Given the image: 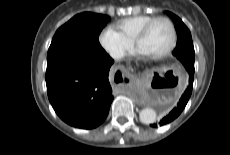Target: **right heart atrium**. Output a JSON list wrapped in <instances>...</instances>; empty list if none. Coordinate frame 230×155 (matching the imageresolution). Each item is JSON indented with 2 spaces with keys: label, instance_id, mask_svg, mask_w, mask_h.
Instances as JSON below:
<instances>
[{
  "label": "right heart atrium",
  "instance_id": "obj_1",
  "mask_svg": "<svg viewBox=\"0 0 230 155\" xmlns=\"http://www.w3.org/2000/svg\"><path fill=\"white\" fill-rule=\"evenodd\" d=\"M98 41L101 48L114 60L122 59L133 47V42L112 26L102 29Z\"/></svg>",
  "mask_w": 230,
  "mask_h": 155
}]
</instances>
